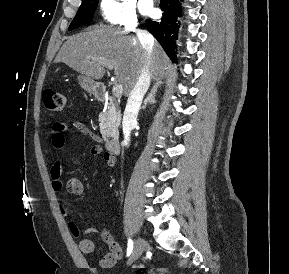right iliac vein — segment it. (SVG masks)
<instances>
[{"mask_svg":"<svg viewBox=\"0 0 289 274\" xmlns=\"http://www.w3.org/2000/svg\"><path fill=\"white\" fill-rule=\"evenodd\" d=\"M146 246H147V243L144 240V238H142L141 236H138V238L135 241L133 252L130 256L128 264H131V263L137 261L140 258V256L142 255Z\"/></svg>","mask_w":289,"mask_h":274,"instance_id":"obj_1","label":"right iliac vein"}]
</instances>
